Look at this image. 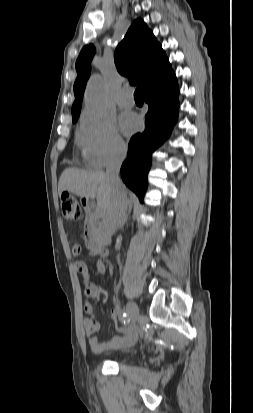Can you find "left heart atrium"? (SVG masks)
Instances as JSON below:
<instances>
[{
  "label": "left heart atrium",
  "mask_w": 253,
  "mask_h": 413,
  "mask_svg": "<svg viewBox=\"0 0 253 413\" xmlns=\"http://www.w3.org/2000/svg\"><path fill=\"white\" fill-rule=\"evenodd\" d=\"M120 124L124 133L132 134L140 127L141 121L134 113H124L121 116Z\"/></svg>",
  "instance_id": "39dd6f15"
}]
</instances>
